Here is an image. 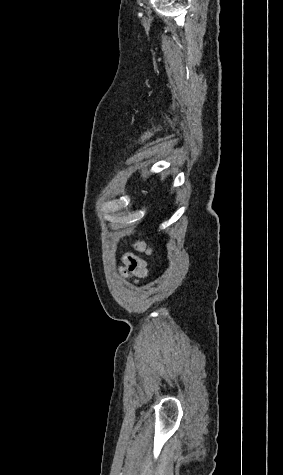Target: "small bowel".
<instances>
[{"label":"small bowel","mask_w":283,"mask_h":475,"mask_svg":"<svg viewBox=\"0 0 283 475\" xmlns=\"http://www.w3.org/2000/svg\"><path fill=\"white\" fill-rule=\"evenodd\" d=\"M137 251L152 257V249L145 242H138L135 245ZM122 274L134 282H138L149 274L147 262L133 253H125L122 256Z\"/></svg>","instance_id":"c3829d8e"}]
</instances>
